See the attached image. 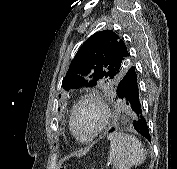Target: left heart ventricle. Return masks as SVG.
I'll return each instance as SVG.
<instances>
[{"label":"left heart ventricle","instance_id":"left-heart-ventricle-1","mask_svg":"<svg viewBox=\"0 0 177 169\" xmlns=\"http://www.w3.org/2000/svg\"><path fill=\"white\" fill-rule=\"evenodd\" d=\"M101 114L93 103L83 104L76 114V127L81 135L93 133L100 125Z\"/></svg>","mask_w":177,"mask_h":169}]
</instances>
